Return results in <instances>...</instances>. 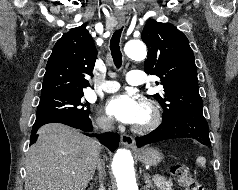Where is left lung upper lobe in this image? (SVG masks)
Wrapping results in <instances>:
<instances>
[{
  "mask_svg": "<svg viewBox=\"0 0 238 190\" xmlns=\"http://www.w3.org/2000/svg\"><path fill=\"white\" fill-rule=\"evenodd\" d=\"M141 38L148 47L145 72L161 78L163 85V93L153 95L164 110L162 120L181 111L202 110L195 58L187 37L172 24L149 20Z\"/></svg>",
  "mask_w": 238,
  "mask_h": 190,
  "instance_id": "obj_1",
  "label": "left lung upper lobe"
}]
</instances>
